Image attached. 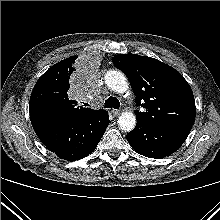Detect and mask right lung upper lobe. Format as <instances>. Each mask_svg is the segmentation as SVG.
<instances>
[{
  "label": "right lung upper lobe",
  "instance_id": "right-lung-upper-lobe-1",
  "mask_svg": "<svg viewBox=\"0 0 220 220\" xmlns=\"http://www.w3.org/2000/svg\"><path fill=\"white\" fill-rule=\"evenodd\" d=\"M76 59L77 56H71L58 62L38 79L30 97V120L50 116L71 121L104 111L77 106V102L68 97Z\"/></svg>",
  "mask_w": 220,
  "mask_h": 220
}]
</instances>
